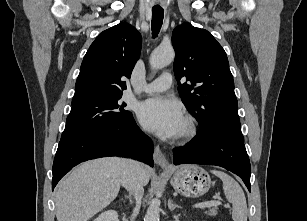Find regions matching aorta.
Returning a JSON list of instances; mask_svg holds the SVG:
<instances>
[{"instance_id": "aorta-1", "label": "aorta", "mask_w": 307, "mask_h": 221, "mask_svg": "<svg viewBox=\"0 0 307 221\" xmlns=\"http://www.w3.org/2000/svg\"><path fill=\"white\" fill-rule=\"evenodd\" d=\"M175 57L172 47H158L150 56V66L152 69H162L169 65ZM160 201L152 199L147 209L144 221H159Z\"/></svg>"}]
</instances>
